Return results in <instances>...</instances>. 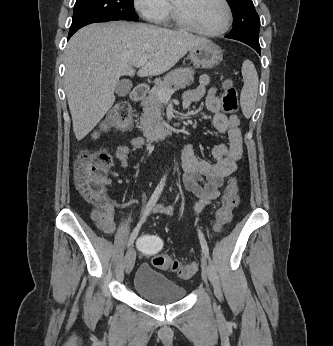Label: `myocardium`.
<instances>
[{
    "instance_id": "1",
    "label": "myocardium",
    "mask_w": 333,
    "mask_h": 346,
    "mask_svg": "<svg viewBox=\"0 0 333 346\" xmlns=\"http://www.w3.org/2000/svg\"><path fill=\"white\" fill-rule=\"evenodd\" d=\"M221 3L223 4L224 8H225V12H226V19L225 22L223 24V26L215 31H206L203 29L198 28L197 26H195L192 22H190L181 12V10L179 9V7L173 2L172 0V9H173V16L175 21L177 22V24L179 26H181L182 28L191 31L193 33L199 34V35H203V36H208V37H216V36H220L223 35L224 33H226L229 28L232 25V20H233V13H232V8L230 6V3L228 0H220Z\"/></svg>"
}]
</instances>
